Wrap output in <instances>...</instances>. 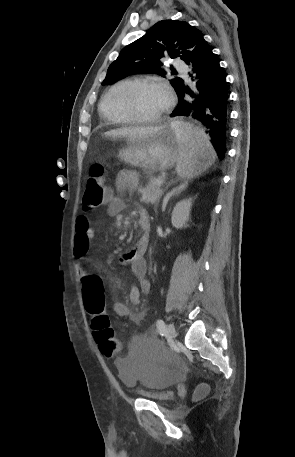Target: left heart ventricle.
<instances>
[{
    "instance_id": "1",
    "label": "left heart ventricle",
    "mask_w": 295,
    "mask_h": 457,
    "mask_svg": "<svg viewBox=\"0 0 295 457\" xmlns=\"http://www.w3.org/2000/svg\"><path fill=\"white\" fill-rule=\"evenodd\" d=\"M162 87L150 86L138 90L134 95V107L136 111L146 117L156 116L167 105Z\"/></svg>"
}]
</instances>
